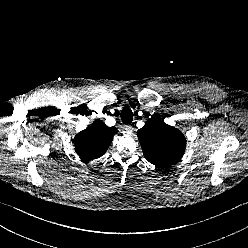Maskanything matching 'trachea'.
Returning <instances> with one entry per match:
<instances>
[{"label":"trachea","mask_w":248,"mask_h":248,"mask_svg":"<svg viewBox=\"0 0 248 248\" xmlns=\"http://www.w3.org/2000/svg\"><path fill=\"white\" fill-rule=\"evenodd\" d=\"M121 120L123 124H130L133 120V113L129 107H125L121 112Z\"/></svg>","instance_id":"trachea-1"}]
</instances>
